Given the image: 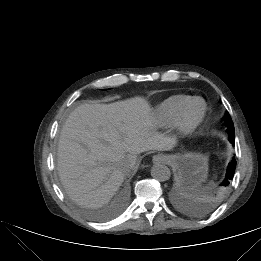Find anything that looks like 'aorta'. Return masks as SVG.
<instances>
[{
	"label": "aorta",
	"instance_id": "1",
	"mask_svg": "<svg viewBox=\"0 0 261 261\" xmlns=\"http://www.w3.org/2000/svg\"><path fill=\"white\" fill-rule=\"evenodd\" d=\"M151 176L160 182L169 180L171 176L170 169L164 164H156L151 168Z\"/></svg>",
	"mask_w": 261,
	"mask_h": 261
}]
</instances>
